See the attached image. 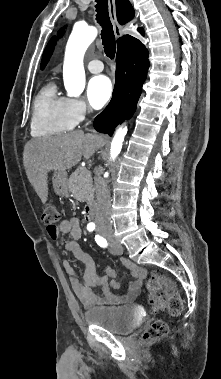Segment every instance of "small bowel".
<instances>
[{
  "label": "small bowel",
  "instance_id": "c3829d8e",
  "mask_svg": "<svg viewBox=\"0 0 221 379\" xmlns=\"http://www.w3.org/2000/svg\"><path fill=\"white\" fill-rule=\"evenodd\" d=\"M49 236L56 240L61 234H70L72 240L65 245L66 251L70 252L77 260L85 266L82 279L79 278L76 270L67 258L63 259V267L68 275L69 282L85 308L99 305H122L136 299L139 295L147 271L135 263L122 259V263L127 267L134 281L129 284L128 292L123 296H118L111 291V288H119L120 284L115 280L116 272L112 267L107 266L98 270L93 258L82 250L78 241L82 231L80 221L76 217L63 220L57 225L54 231L47 230ZM109 279H111L109 281ZM100 288L103 296H100L96 289Z\"/></svg>",
  "mask_w": 221,
  "mask_h": 379
}]
</instances>
